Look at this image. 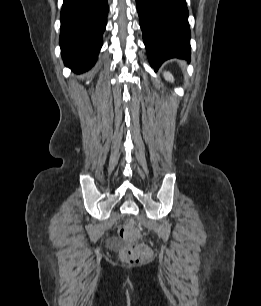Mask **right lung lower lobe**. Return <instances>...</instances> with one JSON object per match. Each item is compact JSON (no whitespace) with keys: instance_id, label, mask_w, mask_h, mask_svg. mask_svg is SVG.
<instances>
[{"instance_id":"obj_1","label":"right lung lower lobe","mask_w":261,"mask_h":306,"mask_svg":"<svg viewBox=\"0 0 261 306\" xmlns=\"http://www.w3.org/2000/svg\"><path fill=\"white\" fill-rule=\"evenodd\" d=\"M108 10L107 0H63L59 42L65 65L76 73L97 60Z\"/></svg>"}]
</instances>
